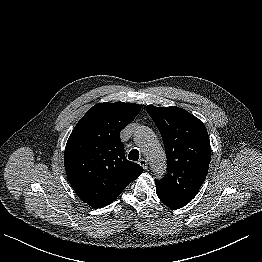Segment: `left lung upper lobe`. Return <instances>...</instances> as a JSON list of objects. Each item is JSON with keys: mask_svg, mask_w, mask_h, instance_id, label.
Here are the masks:
<instances>
[{"mask_svg": "<svg viewBox=\"0 0 262 262\" xmlns=\"http://www.w3.org/2000/svg\"><path fill=\"white\" fill-rule=\"evenodd\" d=\"M158 127L168 161L167 174L155 180L157 194L189 203L202 186L211 160V146L204 124L179 107L146 106Z\"/></svg>", "mask_w": 262, "mask_h": 262, "instance_id": "left-lung-upper-lobe-1", "label": "left lung upper lobe"}]
</instances>
